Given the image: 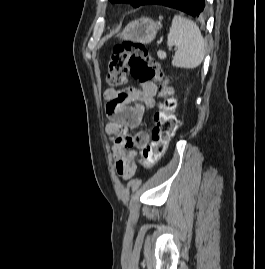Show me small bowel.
<instances>
[{
	"mask_svg": "<svg viewBox=\"0 0 265 269\" xmlns=\"http://www.w3.org/2000/svg\"><path fill=\"white\" fill-rule=\"evenodd\" d=\"M156 93L157 87L153 82H142L140 88H107L103 91L105 111L109 117L106 132L112 136L116 171L124 180L134 175L138 150L148 142L147 133L140 132L132 138L128 132L141 124L147 110L154 108Z\"/></svg>",
	"mask_w": 265,
	"mask_h": 269,
	"instance_id": "obj_1",
	"label": "small bowel"
}]
</instances>
